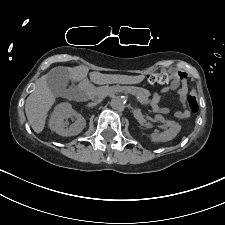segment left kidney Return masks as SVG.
Instances as JSON below:
<instances>
[{
    "instance_id": "1",
    "label": "left kidney",
    "mask_w": 225,
    "mask_h": 225,
    "mask_svg": "<svg viewBox=\"0 0 225 225\" xmlns=\"http://www.w3.org/2000/svg\"><path fill=\"white\" fill-rule=\"evenodd\" d=\"M155 120L159 122H166V125L168 129L161 133H152L149 137L152 141L155 142H166L170 141L173 138L176 137V135L180 132L181 130V125L175 121L172 120H167L163 118L162 115H156Z\"/></svg>"
}]
</instances>
